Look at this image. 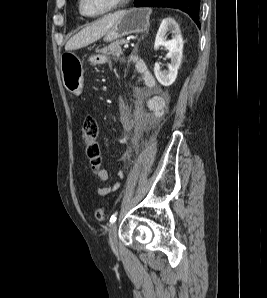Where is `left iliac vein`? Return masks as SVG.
<instances>
[{"mask_svg": "<svg viewBox=\"0 0 267 298\" xmlns=\"http://www.w3.org/2000/svg\"><path fill=\"white\" fill-rule=\"evenodd\" d=\"M109 245L114 252L118 251L117 224L115 222L109 228Z\"/></svg>", "mask_w": 267, "mask_h": 298, "instance_id": "1", "label": "left iliac vein"}]
</instances>
